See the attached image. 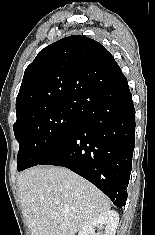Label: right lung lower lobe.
I'll return each instance as SVG.
<instances>
[{
  "label": "right lung lower lobe",
  "instance_id": "98d812e1",
  "mask_svg": "<svg viewBox=\"0 0 155 235\" xmlns=\"http://www.w3.org/2000/svg\"><path fill=\"white\" fill-rule=\"evenodd\" d=\"M81 126L39 165L69 168L126 204L135 142V109L123 74L96 86L78 106Z\"/></svg>",
  "mask_w": 155,
  "mask_h": 235
}]
</instances>
